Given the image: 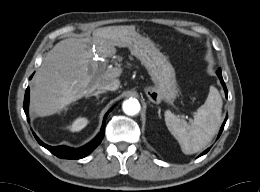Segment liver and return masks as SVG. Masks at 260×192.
Instances as JSON below:
<instances>
[{"label":"liver","mask_w":260,"mask_h":192,"mask_svg":"<svg viewBox=\"0 0 260 192\" xmlns=\"http://www.w3.org/2000/svg\"><path fill=\"white\" fill-rule=\"evenodd\" d=\"M117 27L127 26L99 28L93 37L64 39L47 53L30 93L31 108L37 116L53 115L115 79L105 63L94 58L92 44L100 56L113 55L116 45L110 33Z\"/></svg>","instance_id":"obj_1"}]
</instances>
